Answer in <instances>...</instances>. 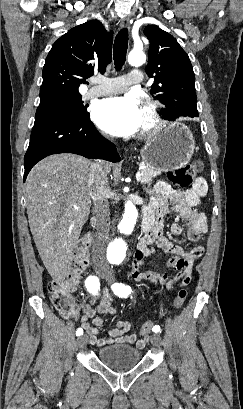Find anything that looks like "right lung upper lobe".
Listing matches in <instances>:
<instances>
[{"label": "right lung upper lobe", "instance_id": "right-lung-upper-lobe-1", "mask_svg": "<svg viewBox=\"0 0 243 409\" xmlns=\"http://www.w3.org/2000/svg\"><path fill=\"white\" fill-rule=\"evenodd\" d=\"M112 35L101 22L87 21L70 29L53 44L43 67L40 101L80 95V84L106 71L111 62Z\"/></svg>", "mask_w": 243, "mask_h": 409}]
</instances>
